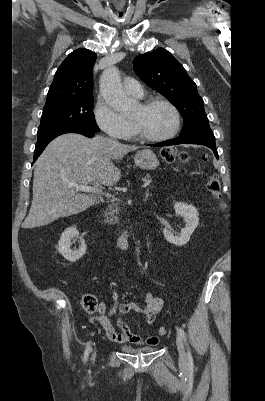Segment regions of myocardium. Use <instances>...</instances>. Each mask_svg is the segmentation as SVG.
<instances>
[{"mask_svg": "<svg viewBox=\"0 0 265 401\" xmlns=\"http://www.w3.org/2000/svg\"><path fill=\"white\" fill-rule=\"evenodd\" d=\"M157 104H162V105L168 107L173 112L174 117H175V127L173 128V130L171 132H169L167 134L160 135V136H149V135L141 133L139 126L135 122H133L135 133L138 134L139 137L143 140L152 141V142L164 141V140L174 137L180 131L181 115H180V112L177 109V107L175 105H173L171 102H169L165 99L154 98V99L146 100L141 103V105L144 108H149V107L157 105Z\"/></svg>", "mask_w": 265, "mask_h": 401, "instance_id": "obj_1", "label": "myocardium"}]
</instances>
